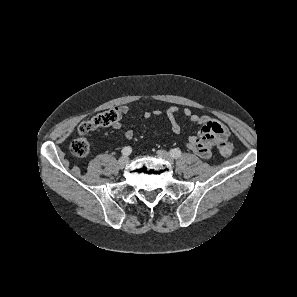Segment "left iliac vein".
I'll use <instances>...</instances> for the list:
<instances>
[{
	"label": "left iliac vein",
	"mask_w": 297,
	"mask_h": 297,
	"mask_svg": "<svg viewBox=\"0 0 297 297\" xmlns=\"http://www.w3.org/2000/svg\"><path fill=\"white\" fill-rule=\"evenodd\" d=\"M157 156L163 160H166L167 162H169L170 164L174 163V159L173 157L170 155V153H168L165 150H158L157 151Z\"/></svg>",
	"instance_id": "1"
}]
</instances>
